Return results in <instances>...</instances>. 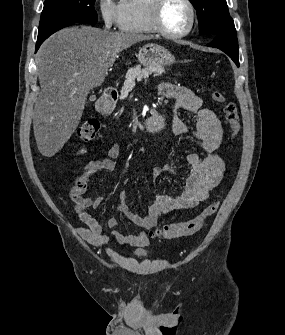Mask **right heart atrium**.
Returning <instances> with one entry per match:
<instances>
[{"mask_svg":"<svg viewBox=\"0 0 285 335\" xmlns=\"http://www.w3.org/2000/svg\"><path fill=\"white\" fill-rule=\"evenodd\" d=\"M100 14L106 28L120 26L123 22L122 5L116 1H102Z\"/></svg>","mask_w":285,"mask_h":335,"instance_id":"right-heart-atrium-1","label":"right heart atrium"}]
</instances>
